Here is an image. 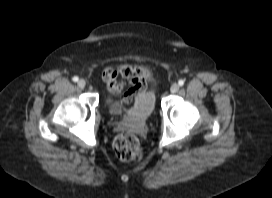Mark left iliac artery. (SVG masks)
<instances>
[{
	"label": "left iliac artery",
	"mask_w": 272,
	"mask_h": 198,
	"mask_svg": "<svg viewBox=\"0 0 272 198\" xmlns=\"http://www.w3.org/2000/svg\"><path fill=\"white\" fill-rule=\"evenodd\" d=\"M178 84L180 85V86H183L184 85V80H179V82H178Z\"/></svg>",
	"instance_id": "left-iliac-artery-1"
}]
</instances>
